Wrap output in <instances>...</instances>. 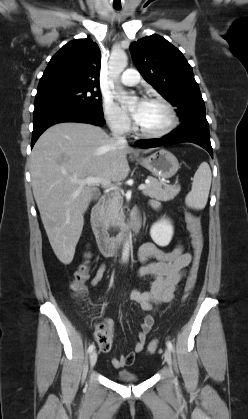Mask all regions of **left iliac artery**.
Listing matches in <instances>:
<instances>
[{
  "label": "left iliac artery",
  "mask_w": 248,
  "mask_h": 419,
  "mask_svg": "<svg viewBox=\"0 0 248 419\" xmlns=\"http://www.w3.org/2000/svg\"><path fill=\"white\" fill-rule=\"evenodd\" d=\"M167 347H168V349L170 350V351H173V345H172V343L170 342V341H167Z\"/></svg>",
  "instance_id": "left-iliac-artery-1"
}]
</instances>
